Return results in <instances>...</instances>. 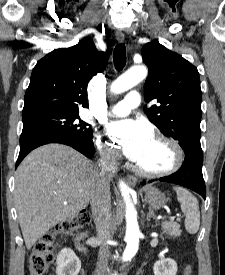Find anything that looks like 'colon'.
Wrapping results in <instances>:
<instances>
[{"label":"colon","instance_id":"colon-1","mask_svg":"<svg viewBox=\"0 0 225 275\" xmlns=\"http://www.w3.org/2000/svg\"><path fill=\"white\" fill-rule=\"evenodd\" d=\"M91 220L88 211H80L44 233L35 243L30 254L31 275H44L54 260V244L58 237L69 236L84 228ZM191 274V266L186 265L184 275Z\"/></svg>","mask_w":225,"mask_h":275}]
</instances>
